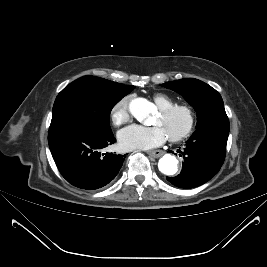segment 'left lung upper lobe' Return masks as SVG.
Segmentation results:
<instances>
[{
	"mask_svg": "<svg viewBox=\"0 0 267 267\" xmlns=\"http://www.w3.org/2000/svg\"><path fill=\"white\" fill-rule=\"evenodd\" d=\"M181 94L197 113L196 128L212 125H229L220 94L208 84L193 78L180 79L162 84Z\"/></svg>",
	"mask_w": 267,
	"mask_h": 267,
	"instance_id": "obj_1",
	"label": "left lung upper lobe"
}]
</instances>
